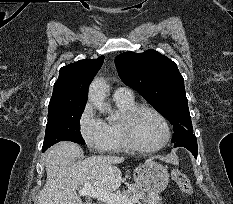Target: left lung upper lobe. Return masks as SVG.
Here are the masks:
<instances>
[{
    "instance_id": "left-lung-upper-lobe-1",
    "label": "left lung upper lobe",
    "mask_w": 233,
    "mask_h": 204,
    "mask_svg": "<svg viewBox=\"0 0 233 204\" xmlns=\"http://www.w3.org/2000/svg\"><path fill=\"white\" fill-rule=\"evenodd\" d=\"M119 77L173 125V143L194 138L184 79L175 62L155 50L124 52L115 58Z\"/></svg>"
}]
</instances>
